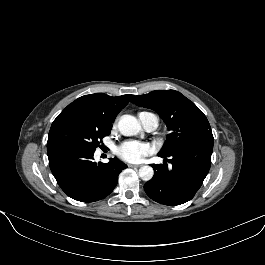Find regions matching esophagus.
I'll list each match as a JSON object with an SVG mask.
<instances>
[{"label":"esophagus","mask_w":265,"mask_h":265,"mask_svg":"<svg viewBox=\"0 0 265 265\" xmlns=\"http://www.w3.org/2000/svg\"><path fill=\"white\" fill-rule=\"evenodd\" d=\"M129 167H140V164H128Z\"/></svg>","instance_id":"1"}]
</instances>
